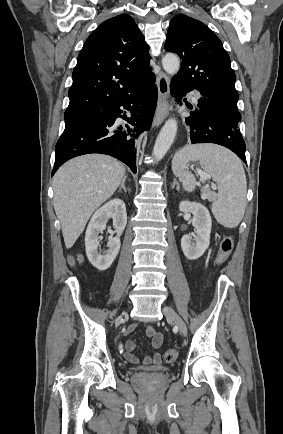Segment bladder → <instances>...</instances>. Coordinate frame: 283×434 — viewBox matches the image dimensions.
Masks as SVG:
<instances>
[{
  "label": "bladder",
  "instance_id": "bladder-1",
  "mask_svg": "<svg viewBox=\"0 0 283 434\" xmlns=\"http://www.w3.org/2000/svg\"><path fill=\"white\" fill-rule=\"evenodd\" d=\"M135 371L138 372V373H145V374L155 375V374H158V373L164 372L165 369H144V368H136Z\"/></svg>",
  "mask_w": 283,
  "mask_h": 434
}]
</instances>
